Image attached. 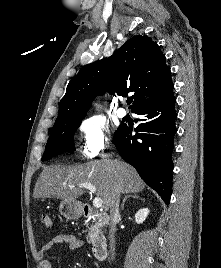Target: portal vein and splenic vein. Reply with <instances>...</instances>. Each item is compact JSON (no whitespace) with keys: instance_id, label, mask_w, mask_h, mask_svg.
<instances>
[{"instance_id":"1","label":"portal vein and splenic vein","mask_w":221,"mask_h":268,"mask_svg":"<svg viewBox=\"0 0 221 268\" xmlns=\"http://www.w3.org/2000/svg\"><path fill=\"white\" fill-rule=\"evenodd\" d=\"M78 187L88 189L91 193L96 192V187L90 183H81ZM93 206L95 208H100L102 206V199L100 197H95L93 199Z\"/></svg>"}]
</instances>
